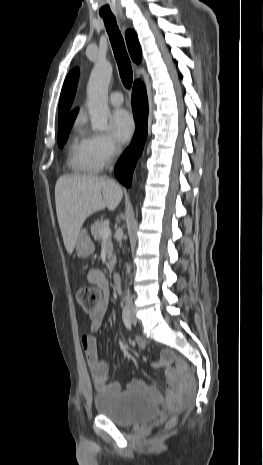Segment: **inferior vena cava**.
Listing matches in <instances>:
<instances>
[{
    "mask_svg": "<svg viewBox=\"0 0 263 465\" xmlns=\"http://www.w3.org/2000/svg\"><path fill=\"white\" fill-rule=\"evenodd\" d=\"M110 171H112V168L110 169ZM126 305L129 306L130 308L133 307V302H132V298L130 296L129 289H127V291H126Z\"/></svg>",
    "mask_w": 263,
    "mask_h": 465,
    "instance_id": "602c4592",
    "label": "inferior vena cava"
}]
</instances>
